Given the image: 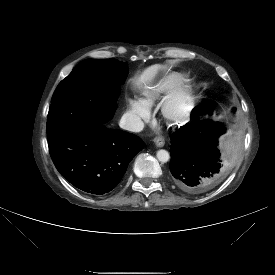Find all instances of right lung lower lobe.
<instances>
[{
	"label": "right lung lower lobe",
	"instance_id": "98d812e1",
	"mask_svg": "<svg viewBox=\"0 0 275 275\" xmlns=\"http://www.w3.org/2000/svg\"><path fill=\"white\" fill-rule=\"evenodd\" d=\"M126 74L110 87L120 93ZM49 152L59 173L72 185L90 194L114 189L129 162L143 149L134 134L109 129L104 123L85 122L48 135Z\"/></svg>",
	"mask_w": 275,
	"mask_h": 275
}]
</instances>
